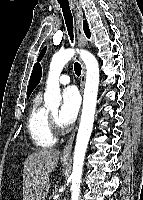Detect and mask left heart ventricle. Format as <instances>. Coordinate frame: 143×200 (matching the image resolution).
Segmentation results:
<instances>
[{
    "label": "left heart ventricle",
    "mask_w": 143,
    "mask_h": 200,
    "mask_svg": "<svg viewBox=\"0 0 143 200\" xmlns=\"http://www.w3.org/2000/svg\"><path fill=\"white\" fill-rule=\"evenodd\" d=\"M52 114L56 117V115H57V110L52 111Z\"/></svg>",
    "instance_id": "b2bd125f"
}]
</instances>
